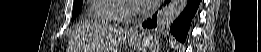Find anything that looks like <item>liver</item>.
<instances>
[{
  "instance_id": "liver-1",
  "label": "liver",
  "mask_w": 261,
  "mask_h": 52,
  "mask_svg": "<svg viewBox=\"0 0 261 52\" xmlns=\"http://www.w3.org/2000/svg\"><path fill=\"white\" fill-rule=\"evenodd\" d=\"M89 34L94 38V43L90 50L98 52L95 50H108V44L122 40L124 31L104 23H92L89 25Z\"/></svg>"
}]
</instances>
